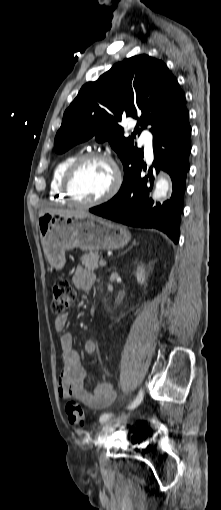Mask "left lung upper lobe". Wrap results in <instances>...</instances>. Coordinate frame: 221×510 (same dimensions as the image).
<instances>
[{
	"label": "left lung upper lobe",
	"mask_w": 221,
	"mask_h": 510,
	"mask_svg": "<svg viewBox=\"0 0 221 510\" xmlns=\"http://www.w3.org/2000/svg\"><path fill=\"white\" fill-rule=\"evenodd\" d=\"M188 116L184 93L164 62L137 55L115 64L97 81L83 85L63 115L54 149L63 153L94 136L98 142L108 140L123 163L124 183L142 161L143 150L131 137H124L118 122L126 117L138 118L132 136L148 125L155 136Z\"/></svg>",
	"instance_id": "5c2ea615"
}]
</instances>
